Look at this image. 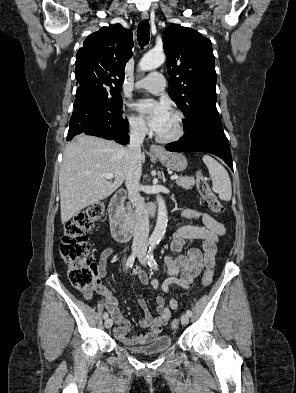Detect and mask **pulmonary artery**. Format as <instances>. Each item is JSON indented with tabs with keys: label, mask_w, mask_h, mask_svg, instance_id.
<instances>
[{
	"label": "pulmonary artery",
	"mask_w": 296,
	"mask_h": 393,
	"mask_svg": "<svg viewBox=\"0 0 296 393\" xmlns=\"http://www.w3.org/2000/svg\"><path fill=\"white\" fill-rule=\"evenodd\" d=\"M137 89H146L152 93H161L165 88V78L161 73L153 72L135 84Z\"/></svg>",
	"instance_id": "pulmonary-artery-1"
}]
</instances>
